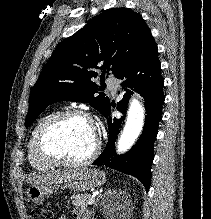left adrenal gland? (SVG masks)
<instances>
[{
  "label": "left adrenal gland",
  "mask_w": 211,
  "mask_h": 219,
  "mask_svg": "<svg viewBox=\"0 0 211 219\" xmlns=\"http://www.w3.org/2000/svg\"><path fill=\"white\" fill-rule=\"evenodd\" d=\"M108 193H110V191H108ZM98 202V200H97ZM97 202L94 204V208H93V219H94V215H95V207L97 206Z\"/></svg>",
  "instance_id": "obj_1"
}]
</instances>
